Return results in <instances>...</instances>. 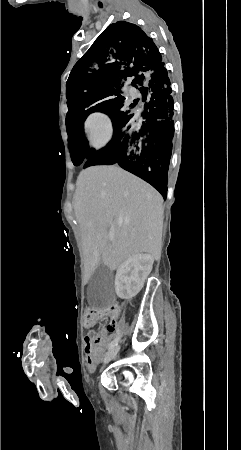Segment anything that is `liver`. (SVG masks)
<instances>
[{
	"label": "liver",
	"mask_w": 241,
	"mask_h": 450,
	"mask_svg": "<svg viewBox=\"0 0 241 450\" xmlns=\"http://www.w3.org/2000/svg\"><path fill=\"white\" fill-rule=\"evenodd\" d=\"M76 186L74 212L87 280L99 264L116 270L132 254L147 252L160 260L163 198L157 190L117 166L86 168Z\"/></svg>",
	"instance_id": "obj_1"
}]
</instances>
